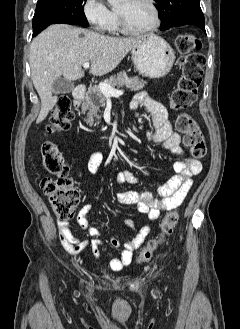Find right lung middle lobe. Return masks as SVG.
I'll list each match as a JSON object with an SVG mask.
<instances>
[{"label": "right lung middle lobe", "mask_w": 240, "mask_h": 329, "mask_svg": "<svg viewBox=\"0 0 240 329\" xmlns=\"http://www.w3.org/2000/svg\"><path fill=\"white\" fill-rule=\"evenodd\" d=\"M86 0H38L33 29L42 24L65 23L88 26L84 14Z\"/></svg>", "instance_id": "1"}]
</instances>
